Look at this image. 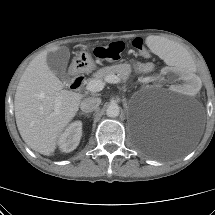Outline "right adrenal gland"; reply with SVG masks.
Instances as JSON below:
<instances>
[{
  "mask_svg": "<svg viewBox=\"0 0 215 215\" xmlns=\"http://www.w3.org/2000/svg\"><path fill=\"white\" fill-rule=\"evenodd\" d=\"M79 115H84V116H86V117H90V115H89V114L84 113V112H80V113H79Z\"/></svg>",
  "mask_w": 215,
  "mask_h": 215,
  "instance_id": "1",
  "label": "right adrenal gland"
}]
</instances>
